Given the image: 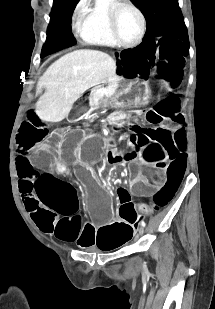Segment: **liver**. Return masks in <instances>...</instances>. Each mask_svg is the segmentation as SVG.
<instances>
[{
    "instance_id": "liver-1",
    "label": "liver",
    "mask_w": 215,
    "mask_h": 309,
    "mask_svg": "<svg viewBox=\"0 0 215 309\" xmlns=\"http://www.w3.org/2000/svg\"><path fill=\"white\" fill-rule=\"evenodd\" d=\"M115 68L116 60L102 50L80 48L64 54L38 80V90L43 86L46 90L36 104L37 112L44 120H63L75 100L87 88L108 80Z\"/></svg>"
}]
</instances>
